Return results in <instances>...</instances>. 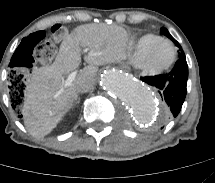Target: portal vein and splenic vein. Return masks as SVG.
I'll return each mask as SVG.
<instances>
[{
    "instance_id": "1",
    "label": "portal vein and splenic vein",
    "mask_w": 215,
    "mask_h": 183,
    "mask_svg": "<svg viewBox=\"0 0 215 183\" xmlns=\"http://www.w3.org/2000/svg\"><path fill=\"white\" fill-rule=\"evenodd\" d=\"M87 51H88V49L85 48L84 53H87ZM76 76H77V71H73L72 73H70L68 75L67 79L65 80L63 87L57 92L56 95L61 94L63 92L64 88L71 86L72 82L75 80Z\"/></svg>"
}]
</instances>
